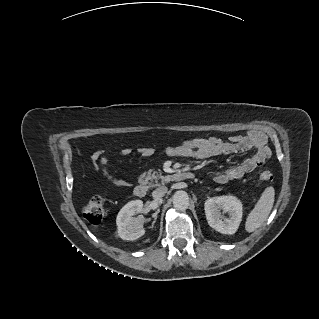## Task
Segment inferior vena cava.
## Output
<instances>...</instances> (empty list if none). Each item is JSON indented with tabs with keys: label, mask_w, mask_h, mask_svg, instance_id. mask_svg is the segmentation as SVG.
Here are the masks:
<instances>
[{
	"label": "inferior vena cava",
	"mask_w": 319,
	"mask_h": 319,
	"mask_svg": "<svg viewBox=\"0 0 319 319\" xmlns=\"http://www.w3.org/2000/svg\"><path fill=\"white\" fill-rule=\"evenodd\" d=\"M167 191H168L167 187L161 186V187L155 189V190L152 192V197H153L155 200H159L160 198H162V197L167 193Z\"/></svg>",
	"instance_id": "602c4592"
}]
</instances>
